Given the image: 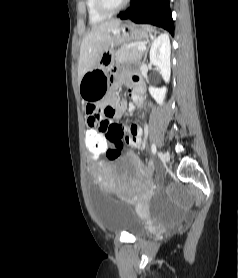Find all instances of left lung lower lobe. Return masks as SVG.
Returning <instances> with one entry per match:
<instances>
[{
	"label": "left lung lower lobe",
	"mask_w": 238,
	"mask_h": 278,
	"mask_svg": "<svg viewBox=\"0 0 238 278\" xmlns=\"http://www.w3.org/2000/svg\"><path fill=\"white\" fill-rule=\"evenodd\" d=\"M119 17L139 24H153L174 35L169 0H132L130 7Z\"/></svg>",
	"instance_id": "0a47b994"
}]
</instances>
